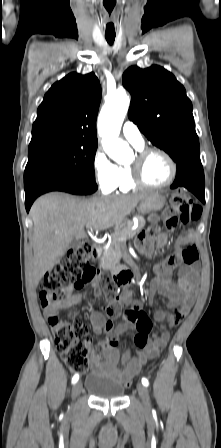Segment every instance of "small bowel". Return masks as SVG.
<instances>
[{"instance_id":"small-bowel-1","label":"small bowel","mask_w":221,"mask_h":448,"mask_svg":"<svg viewBox=\"0 0 221 448\" xmlns=\"http://www.w3.org/2000/svg\"><path fill=\"white\" fill-rule=\"evenodd\" d=\"M168 220L171 218L167 217ZM152 225L146 235L140 236L136 245L141 251H148L152 245L162 248L167 244V232L157 225L158 219H151ZM190 237L181 236L177 242V251L154 266L155 278L152 280L149 288L150 300L155 293H159L168 299L166 307H159L154 311V319L159 323L161 333L154 334L150 343L137 351L133 356L130 351H125L120 357L118 349V338L126 331L136 328L135 323L129 321L127 312L123 314V320L120 322L111 335L112 327H109L107 317L114 318L120 315L122 306H131L130 309L141 310V303L138 300H132V293L125 291L120 300H117L118 307L114 303L107 306L104 310H95L90 315L91 326L96 334H104L106 340L100 343L98 349L91 351V361L93 369L96 371H107L114 374V378L125 381L138 372L141 365L147 360L153 359L158 352L164 348L170 338V329L173 324L172 309H178L182 316L186 315L195 299L196 290L199 282V271L195 264H184L180 259V249L188 244ZM181 265L178 278L173 281L170 278L172 270ZM95 295H100V284L96 280L92 283ZM87 300V296L82 293L70 295L61 303L54 305L45 312L59 311L67 309ZM167 322V325L164 323Z\"/></svg>"}]
</instances>
